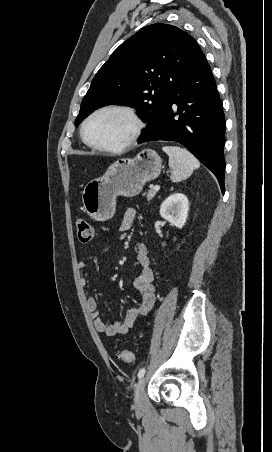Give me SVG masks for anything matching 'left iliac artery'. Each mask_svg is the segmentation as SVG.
<instances>
[{
    "label": "left iliac artery",
    "instance_id": "1",
    "mask_svg": "<svg viewBox=\"0 0 272 452\" xmlns=\"http://www.w3.org/2000/svg\"><path fill=\"white\" fill-rule=\"evenodd\" d=\"M145 371H146L145 368L140 369L139 372H138V378L143 377L144 374H145Z\"/></svg>",
    "mask_w": 272,
    "mask_h": 452
}]
</instances>
